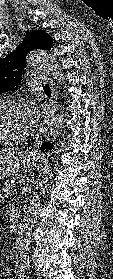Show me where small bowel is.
<instances>
[{"label": "small bowel", "instance_id": "c3829d8e", "mask_svg": "<svg viewBox=\"0 0 113 279\" xmlns=\"http://www.w3.org/2000/svg\"><path fill=\"white\" fill-rule=\"evenodd\" d=\"M0 197H1V195H0ZM7 274H9L10 273V270H7V272H6Z\"/></svg>", "mask_w": 113, "mask_h": 279}]
</instances>
